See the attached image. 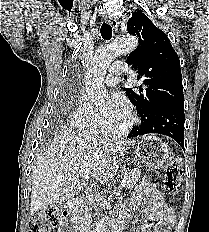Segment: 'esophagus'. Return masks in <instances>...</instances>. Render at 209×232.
I'll use <instances>...</instances> for the list:
<instances>
[{"label":"esophagus","mask_w":209,"mask_h":232,"mask_svg":"<svg viewBox=\"0 0 209 232\" xmlns=\"http://www.w3.org/2000/svg\"><path fill=\"white\" fill-rule=\"evenodd\" d=\"M105 20H106V22L109 23L115 30H118L119 25H118V21H117L115 18H113V17H111V16H106V17H105Z\"/></svg>","instance_id":"34e87169"}]
</instances>
